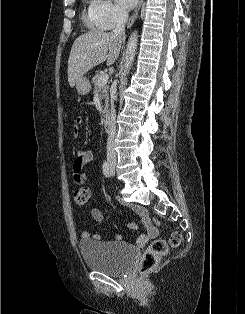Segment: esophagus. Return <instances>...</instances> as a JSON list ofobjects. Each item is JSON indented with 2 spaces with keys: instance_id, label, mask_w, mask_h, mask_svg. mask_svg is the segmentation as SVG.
<instances>
[{
  "instance_id": "esophagus-1",
  "label": "esophagus",
  "mask_w": 245,
  "mask_h": 314,
  "mask_svg": "<svg viewBox=\"0 0 245 314\" xmlns=\"http://www.w3.org/2000/svg\"><path fill=\"white\" fill-rule=\"evenodd\" d=\"M142 2H143V0H139L134 12L132 13V15L128 21L127 27H130L135 22V20L137 19L140 8L142 6Z\"/></svg>"
}]
</instances>
